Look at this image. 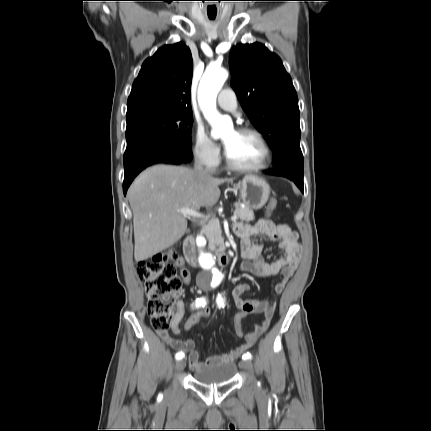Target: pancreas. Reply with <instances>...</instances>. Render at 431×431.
I'll list each match as a JSON object with an SVG mask.
<instances>
[{"label":"pancreas","mask_w":431,"mask_h":431,"mask_svg":"<svg viewBox=\"0 0 431 431\" xmlns=\"http://www.w3.org/2000/svg\"><path fill=\"white\" fill-rule=\"evenodd\" d=\"M235 212L234 214L237 215V218L241 221L250 222L254 220V213L253 211L247 207L243 206L242 203L236 202L235 203ZM206 230V237L209 240V247L211 249H215L217 246L221 245L223 242L222 236H221V228L218 222L216 221H209L205 225Z\"/></svg>","instance_id":"1"}]
</instances>
